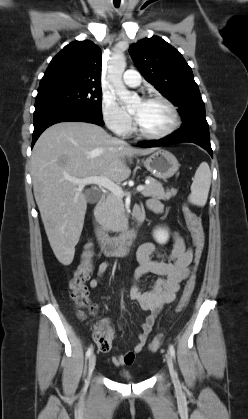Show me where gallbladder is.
Returning <instances> with one entry per match:
<instances>
[{
  "mask_svg": "<svg viewBox=\"0 0 248 419\" xmlns=\"http://www.w3.org/2000/svg\"><path fill=\"white\" fill-rule=\"evenodd\" d=\"M86 197H87V201L89 202V203H92V204H94V203H96V202H98V200L100 199V193L98 192V191H95V190H89L87 193H86Z\"/></svg>",
  "mask_w": 248,
  "mask_h": 419,
  "instance_id": "1",
  "label": "gallbladder"
}]
</instances>
